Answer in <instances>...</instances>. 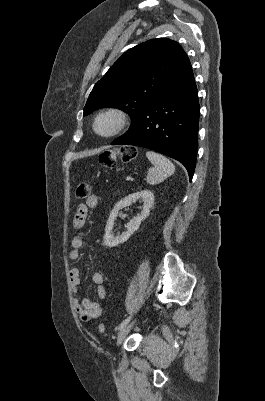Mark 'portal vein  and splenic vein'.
Masks as SVG:
<instances>
[{
  "label": "portal vein and splenic vein",
  "mask_w": 265,
  "mask_h": 401,
  "mask_svg": "<svg viewBox=\"0 0 265 401\" xmlns=\"http://www.w3.org/2000/svg\"><path fill=\"white\" fill-rule=\"evenodd\" d=\"M125 180H126V181H130V180H131V177H130V176H126V177H125Z\"/></svg>",
  "instance_id": "1"
}]
</instances>
